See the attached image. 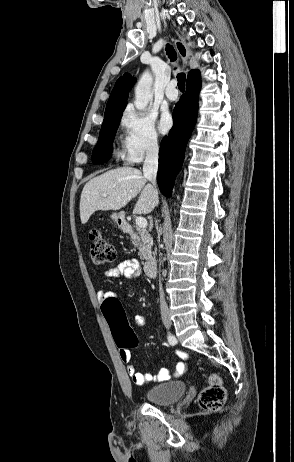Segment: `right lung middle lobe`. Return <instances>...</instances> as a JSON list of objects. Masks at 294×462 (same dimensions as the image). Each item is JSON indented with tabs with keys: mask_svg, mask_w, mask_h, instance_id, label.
<instances>
[{
	"mask_svg": "<svg viewBox=\"0 0 294 462\" xmlns=\"http://www.w3.org/2000/svg\"><path fill=\"white\" fill-rule=\"evenodd\" d=\"M121 117L122 113L104 118L98 143L92 154V161L94 163L100 164L110 159V152L113 150L112 136L117 131Z\"/></svg>",
	"mask_w": 294,
	"mask_h": 462,
	"instance_id": "1",
	"label": "right lung middle lobe"
}]
</instances>
